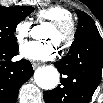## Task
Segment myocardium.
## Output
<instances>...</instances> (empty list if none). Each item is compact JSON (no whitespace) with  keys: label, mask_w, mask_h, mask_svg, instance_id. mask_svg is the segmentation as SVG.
I'll list each match as a JSON object with an SVG mask.
<instances>
[{"label":"myocardium","mask_w":103,"mask_h":103,"mask_svg":"<svg viewBox=\"0 0 103 103\" xmlns=\"http://www.w3.org/2000/svg\"><path fill=\"white\" fill-rule=\"evenodd\" d=\"M51 26L60 32L65 34L63 41L58 45L61 50L68 49L74 39L76 34V26L72 19H62L51 22Z\"/></svg>","instance_id":"myocardium-1"}]
</instances>
